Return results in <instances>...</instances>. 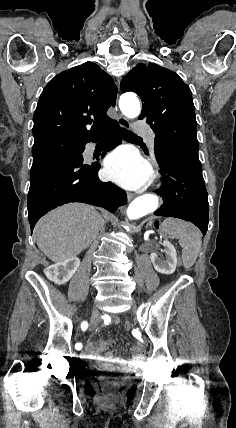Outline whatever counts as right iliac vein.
<instances>
[{
    "instance_id": "1",
    "label": "right iliac vein",
    "mask_w": 236,
    "mask_h": 428,
    "mask_svg": "<svg viewBox=\"0 0 236 428\" xmlns=\"http://www.w3.org/2000/svg\"><path fill=\"white\" fill-rule=\"evenodd\" d=\"M91 316H92V319H91V326L92 327H95L96 326V320H97V315H95L93 312L90 314Z\"/></svg>"
}]
</instances>
